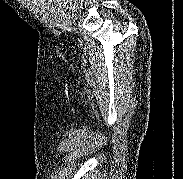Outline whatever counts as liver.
I'll return each mask as SVG.
<instances>
[{"label":"liver","instance_id":"1","mask_svg":"<svg viewBox=\"0 0 183 179\" xmlns=\"http://www.w3.org/2000/svg\"><path fill=\"white\" fill-rule=\"evenodd\" d=\"M83 179H91V178H89V176L87 175V176H85V178H83Z\"/></svg>","mask_w":183,"mask_h":179}]
</instances>
